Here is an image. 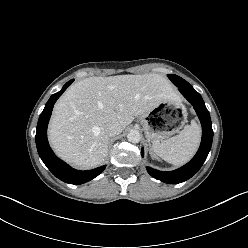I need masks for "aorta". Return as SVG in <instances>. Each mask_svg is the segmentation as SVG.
I'll use <instances>...</instances> for the list:
<instances>
[{"mask_svg":"<svg viewBox=\"0 0 248 248\" xmlns=\"http://www.w3.org/2000/svg\"><path fill=\"white\" fill-rule=\"evenodd\" d=\"M127 139L129 142L138 143L141 140V135H140L139 131L131 130L127 135Z\"/></svg>","mask_w":248,"mask_h":248,"instance_id":"762f6f07","label":"aorta"}]
</instances>
